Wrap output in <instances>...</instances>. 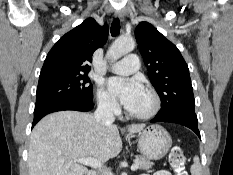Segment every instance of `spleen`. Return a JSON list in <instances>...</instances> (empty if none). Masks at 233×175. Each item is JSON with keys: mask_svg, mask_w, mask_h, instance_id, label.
Listing matches in <instances>:
<instances>
[{"mask_svg": "<svg viewBox=\"0 0 233 175\" xmlns=\"http://www.w3.org/2000/svg\"><path fill=\"white\" fill-rule=\"evenodd\" d=\"M193 161L194 163L191 166V175H201V164L199 162V157L195 156Z\"/></svg>", "mask_w": 233, "mask_h": 175, "instance_id": "obj_1", "label": "spleen"}]
</instances>
